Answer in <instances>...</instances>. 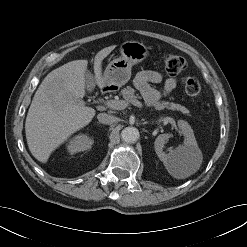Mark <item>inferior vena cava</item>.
<instances>
[{
	"mask_svg": "<svg viewBox=\"0 0 247 247\" xmlns=\"http://www.w3.org/2000/svg\"><path fill=\"white\" fill-rule=\"evenodd\" d=\"M97 119L99 122L104 124H112L117 121V118L115 116L106 113L98 114Z\"/></svg>",
	"mask_w": 247,
	"mask_h": 247,
	"instance_id": "602c4592",
	"label": "inferior vena cava"
}]
</instances>
